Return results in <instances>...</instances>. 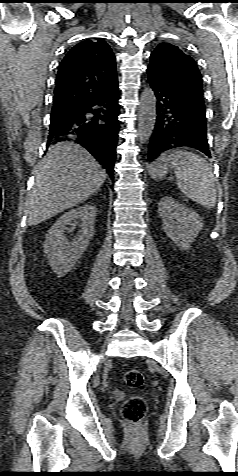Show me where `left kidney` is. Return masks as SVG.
Listing matches in <instances>:
<instances>
[{"mask_svg":"<svg viewBox=\"0 0 238 476\" xmlns=\"http://www.w3.org/2000/svg\"><path fill=\"white\" fill-rule=\"evenodd\" d=\"M162 227L181 250H188L203 227L202 219L193 210L172 197H162L158 203Z\"/></svg>","mask_w":238,"mask_h":476,"instance_id":"obj_1","label":"left kidney"}]
</instances>
